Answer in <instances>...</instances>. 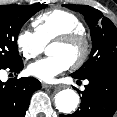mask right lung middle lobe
<instances>
[{
  "mask_svg": "<svg viewBox=\"0 0 117 117\" xmlns=\"http://www.w3.org/2000/svg\"><path fill=\"white\" fill-rule=\"evenodd\" d=\"M46 4L0 6V68L22 61L18 52V33L24 23Z\"/></svg>",
  "mask_w": 117,
  "mask_h": 117,
  "instance_id": "right-lung-middle-lobe-1",
  "label": "right lung middle lobe"
}]
</instances>
